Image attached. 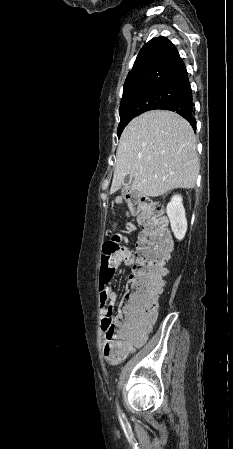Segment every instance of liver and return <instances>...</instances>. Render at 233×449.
I'll list each match as a JSON object with an SVG mask.
<instances>
[{
    "label": "liver",
    "instance_id": "obj_1",
    "mask_svg": "<svg viewBox=\"0 0 233 449\" xmlns=\"http://www.w3.org/2000/svg\"><path fill=\"white\" fill-rule=\"evenodd\" d=\"M196 138L191 125L177 113L145 112L124 129L117 149L110 193L118 191L125 177L131 189L158 197L176 189H191L199 173Z\"/></svg>",
    "mask_w": 233,
    "mask_h": 449
}]
</instances>
